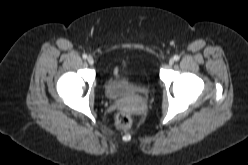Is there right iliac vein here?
Instances as JSON below:
<instances>
[{
    "mask_svg": "<svg viewBox=\"0 0 248 165\" xmlns=\"http://www.w3.org/2000/svg\"><path fill=\"white\" fill-rule=\"evenodd\" d=\"M87 61H88V63H89L90 65L94 64V59H93L92 56H89V57L87 58Z\"/></svg>",
    "mask_w": 248,
    "mask_h": 165,
    "instance_id": "obj_1",
    "label": "right iliac vein"
}]
</instances>
